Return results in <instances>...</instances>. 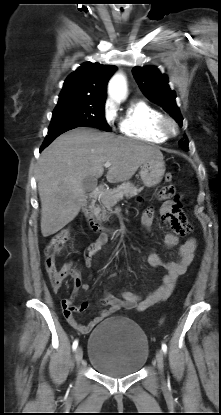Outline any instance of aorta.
<instances>
[{
    "label": "aorta",
    "mask_w": 221,
    "mask_h": 415,
    "mask_svg": "<svg viewBox=\"0 0 221 415\" xmlns=\"http://www.w3.org/2000/svg\"><path fill=\"white\" fill-rule=\"evenodd\" d=\"M108 92L110 97L118 102L126 98L127 85L125 77L121 73H117L112 77L109 83Z\"/></svg>",
    "instance_id": "762f6f07"
}]
</instances>
